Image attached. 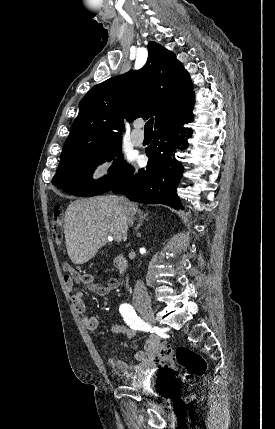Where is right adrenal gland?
I'll list each match as a JSON object with an SVG mask.
<instances>
[{
	"label": "right adrenal gland",
	"mask_w": 275,
	"mask_h": 429,
	"mask_svg": "<svg viewBox=\"0 0 275 429\" xmlns=\"http://www.w3.org/2000/svg\"><path fill=\"white\" fill-rule=\"evenodd\" d=\"M138 214H139V223L136 226L135 231L137 233V236H140L139 228L142 226L143 220L146 219V217L148 216L149 213L148 212L144 213L143 211L139 210Z\"/></svg>",
	"instance_id": "2a0ac1e0"
}]
</instances>
